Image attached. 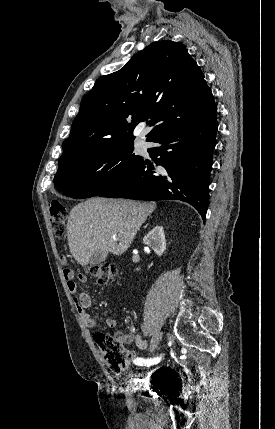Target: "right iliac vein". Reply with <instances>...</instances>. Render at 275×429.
<instances>
[{"label":"right iliac vein","instance_id":"1","mask_svg":"<svg viewBox=\"0 0 275 429\" xmlns=\"http://www.w3.org/2000/svg\"><path fill=\"white\" fill-rule=\"evenodd\" d=\"M161 339H162V332H157L153 336L152 341H151V346H150L151 351H154L158 347Z\"/></svg>","mask_w":275,"mask_h":429}]
</instances>
